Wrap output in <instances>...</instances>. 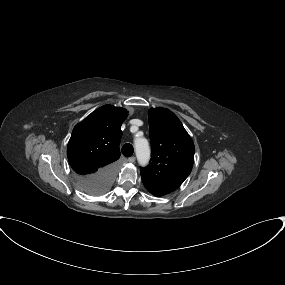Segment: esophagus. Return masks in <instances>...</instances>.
Listing matches in <instances>:
<instances>
[{"label": "esophagus", "instance_id": "1", "mask_svg": "<svg viewBox=\"0 0 285 285\" xmlns=\"http://www.w3.org/2000/svg\"><path fill=\"white\" fill-rule=\"evenodd\" d=\"M128 162L134 163V162H135V157H129V158H128Z\"/></svg>", "mask_w": 285, "mask_h": 285}]
</instances>
